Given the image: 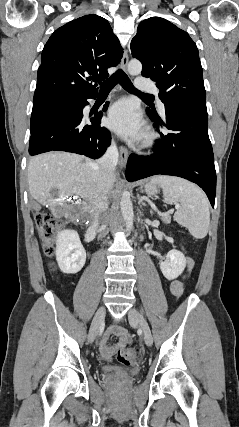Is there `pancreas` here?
<instances>
[{
    "instance_id": "1",
    "label": "pancreas",
    "mask_w": 239,
    "mask_h": 427,
    "mask_svg": "<svg viewBox=\"0 0 239 427\" xmlns=\"http://www.w3.org/2000/svg\"><path fill=\"white\" fill-rule=\"evenodd\" d=\"M161 220L165 223V224H169L171 222V217L169 215H164L161 217Z\"/></svg>"
}]
</instances>
